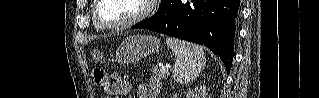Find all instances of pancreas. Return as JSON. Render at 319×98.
Wrapping results in <instances>:
<instances>
[{"mask_svg":"<svg viewBox=\"0 0 319 98\" xmlns=\"http://www.w3.org/2000/svg\"><path fill=\"white\" fill-rule=\"evenodd\" d=\"M151 72L154 78H157V79H165L168 74V70H163L162 67H158V66L151 67Z\"/></svg>","mask_w":319,"mask_h":98,"instance_id":"pancreas-1","label":"pancreas"}]
</instances>
